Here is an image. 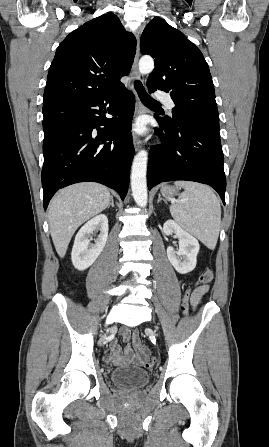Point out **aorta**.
I'll return each mask as SVG.
<instances>
[{"label": "aorta", "mask_w": 269, "mask_h": 447, "mask_svg": "<svg viewBox=\"0 0 269 447\" xmlns=\"http://www.w3.org/2000/svg\"><path fill=\"white\" fill-rule=\"evenodd\" d=\"M138 70L140 74H150L154 70V62L151 56H142L139 60ZM148 152L146 150H140L136 156H134L132 164L131 174V190L133 198L140 208L147 206V182H146V170H147Z\"/></svg>", "instance_id": "aorta-1"}]
</instances>
